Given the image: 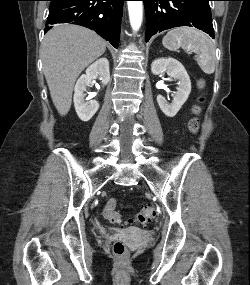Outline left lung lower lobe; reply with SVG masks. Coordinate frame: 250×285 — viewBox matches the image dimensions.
<instances>
[{"label":"left lung lower lobe","instance_id":"1","mask_svg":"<svg viewBox=\"0 0 250 285\" xmlns=\"http://www.w3.org/2000/svg\"><path fill=\"white\" fill-rule=\"evenodd\" d=\"M146 12V42L173 27H196L214 38L211 0H142Z\"/></svg>","mask_w":250,"mask_h":285}]
</instances>
